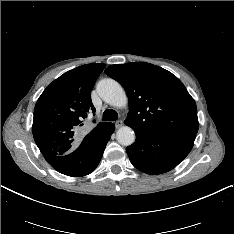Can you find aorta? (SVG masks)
Listing matches in <instances>:
<instances>
[{
	"mask_svg": "<svg viewBox=\"0 0 234 234\" xmlns=\"http://www.w3.org/2000/svg\"><path fill=\"white\" fill-rule=\"evenodd\" d=\"M99 96L107 104L114 107H123L127 103V96L122 86L113 79H103L97 84ZM116 139L123 146H130L135 141V133L129 126L118 129Z\"/></svg>",
	"mask_w": 234,
	"mask_h": 234,
	"instance_id": "762f6f07",
	"label": "aorta"
}]
</instances>
